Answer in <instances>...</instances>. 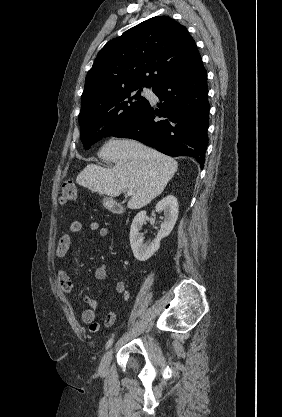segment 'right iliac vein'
<instances>
[{
	"label": "right iliac vein",
	"mask_w": 282,
	"mask_h": 417,
	"mask_svg": "<svg viewBox=\"0 0 282 417\" xmlns=\"http://www.w3.org/2000/svg\"><path fill=\"white\" fill-rule=\"evenodd\" d=\"M112 356H113V349L111 348L109 351H107L104 354V356H103V358L101 360V363H100V366H99V371L102 374H104V373L107 372L108 367H109V364H110V361L112 359Z\"/></svg>",
	"instance_id": "1"
}]
</instances>
